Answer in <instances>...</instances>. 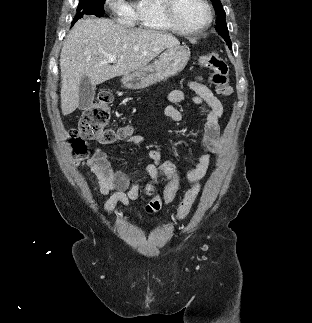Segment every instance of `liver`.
I'll return each mask as SVG.
<instances>
[{
    "label": "liver",
    "instance_id": "6515ba94",
    "mask_svg": "<svg viewBox=\"0 0 312 323\" xmlns=\"http://www.w3.org/2000/svg\"><path fill=\"white\" fill-rule=\"evenodd\" d=\"M178 44L172 34L126 28L107 18L87 16L78 20L63 42L59 60L63 116L72 114L79 106L82 76L97 86L145 68L163 50ZM108 56H117L114 66H110Z\"/></svg>",
    "mask_w": 312,
    "mask_h": 323
}]
</instances>
